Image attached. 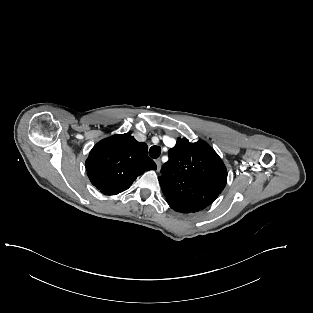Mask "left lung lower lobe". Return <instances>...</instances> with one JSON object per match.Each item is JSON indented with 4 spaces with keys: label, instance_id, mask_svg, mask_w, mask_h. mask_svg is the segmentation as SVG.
<instances>
[{
    "label": "left lung lower lobe",
    "instance_id": "0a47b994",
    "mask_svg": "<svg viewBox=\"0 0 313 313\" xmlns=\"http://www.w3.org/2000/svg\"><path fill=\"white\" fill-rule=\"evenodd\" d=\"M169 206L174 209L175 211L177 212H182V213H190V211H188L187 209L183 208V207H180V206H175V205H172V204H169Z\"/></svg>",
    "mask_w": 313,
    "mask_h": 313
}]
</instances>
